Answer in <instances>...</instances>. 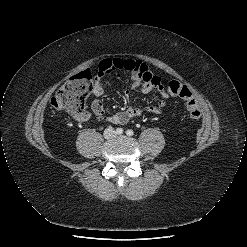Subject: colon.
Masks as SVG:
<instances>
[{"label":"colon","mask_w":247,"mask_h":247,"mask_svg":"<svg viewBox=\"0 0 247 247\" xmlns=\"http://www.w3.org/2000/svg\"><path fill=\"white\" fill-rule=\"evenodd\" d=\"M91 81L92 76L89 70L71 77L51 98V106L56 110H63L74 116L82 113L93 89ZM166 90L169 95L180 97L186 102L190 118L195 120L200 118V106L187 86L178 81H170Z\"/></svg>","instance_id":"obj_1"}]
</instances>
